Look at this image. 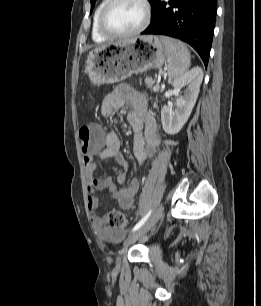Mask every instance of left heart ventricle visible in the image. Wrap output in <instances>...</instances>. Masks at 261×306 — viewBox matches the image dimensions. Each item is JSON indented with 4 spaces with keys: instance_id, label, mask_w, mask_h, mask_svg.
<instances>
[{
    "instance_id": "left-heart-ventricle-1",
    "label": "left heart ventricle",
    "mask_w": 261,
    "mask_h": 306,
    "mask_svg": "<svg viewBox=\"0 0 261 306\" xmlns=\"http://www.w3.org/2000/svg\"><path fill=\"white\" fill-rule=\"evenodd\" d=\"M144 9L137 0H121L107 15V24L117 32H130L143 21Z\"/></svg>"
}]
</instances>
